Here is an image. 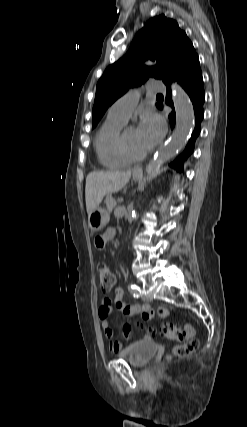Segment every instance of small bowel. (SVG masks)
I'll return each mask as SVG.
<instances>
[{"mask_svg": "<svg viewBox=\"0 0 247 427\" xmlns=\"http://www.w3.org/2000/svg\"><path fill=\"white\" fill-rule=\"evenodd\" d=\"M115 235L116 230L114 228L107 229L102 235L96 238V246L98 248H104L106 243L112 240ZM123 295V290L119 287L116 288L113 301H111L109 298H104L98 312L104 335L109 340V348L112 352H119L123 348V342L113 340V330L109 325V317L113 310L112 304L121 314L127 316L140 314L144 320H151L155 314H157L160 318H166L170 314L169 310L164 307H160L157 310H152L148 305L127 304L123 300ZM122 334L126 340L132 337L131 324L127 323L123 325ZM150 338V335L145 336V339Z\"/></svg>", "mask_w": 247, "mask_h": 427, "instance_id": "c3829d8e", "label": "small bowel"}]
</instances>
